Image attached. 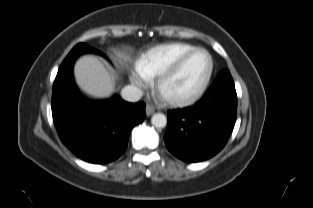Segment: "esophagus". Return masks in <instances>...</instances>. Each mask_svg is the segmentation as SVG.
Listing matches in <instances>:
<instances>
[{
  "instance_id": "esophagus-1",
  "label": "esophagus",
  "mask_w": 313,
  "mask_h": 208,
  "mask_svg": "<svg viewBox=\"0 0 313 208\" xmlns=\"http://www.w3.org/2000/svg\"><path fill=\"white\" fill-rule=\"evenodd\" d=\"M145 110H146V115L150 116L155 112V107L152 105H147Z\"/></svg>"
}]
</instances>
